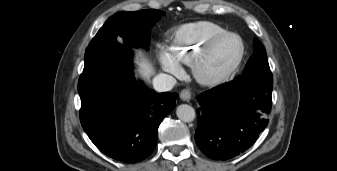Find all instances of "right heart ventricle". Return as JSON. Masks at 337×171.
Segmentation results:
<instances>
[{
    "label": "right heart ventricle",
    "instance_id": "obj_1",
    "mask_svg": "<svg viewBox=\"0 0 337 171\" xmlns=\"http://www.w3.org/2000/svg\"><path fill=\"white\" fill-rule=\"evenodd\" d=\"M227 32L211 21H196L180 26L169 40V54L179 63L190 65L200 49L212 38Z\"/></svg>",
    "mask_w": 337,
    "mask_h": 171
}]
</instances>
